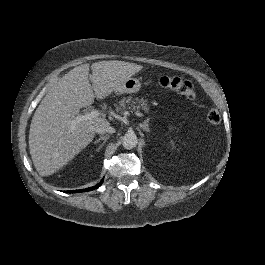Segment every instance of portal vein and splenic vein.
<instances>
[{"label":"portal vein and splenic vein","mask_w":265,"mask_h":265,"mask_svg":"<svg viewBox=\"0 0 265 265\" xmlns=\"http://www.w3.org/2000/svg\"><path fill=\"white\" fill-rule=\"evenodd\" d=\"M103 113L101 111H95V110H91L90 112L84 114L83 116H78L75 118V121L77 123H79L82 120H88V119H92V118H96L101 116ZM134 115H137L138 117L142 116V113L139 110H136L134 112ZM143 118H146V115H143Z\"/></svg>","instance_id":"18ae733b"}]
</instances>
